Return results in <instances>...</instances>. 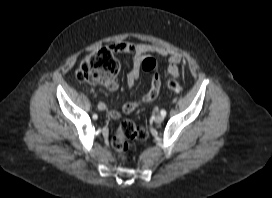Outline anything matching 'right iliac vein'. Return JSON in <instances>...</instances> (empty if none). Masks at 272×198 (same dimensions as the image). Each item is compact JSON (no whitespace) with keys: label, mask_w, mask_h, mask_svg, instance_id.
<instances>
[{"label":"right iliac vein","mask_w":272,"mask_h":198,"mask_svg":"<svg viewBox=\"0 0 272 198\" xmlns=\"http://www.w3.org/2000/svg\"><path fill=\"white\" fill-rule=\"evenodd\" d=\"M100 110H104L105 109V105H102L99 107Z\"/></svg>","instance_id":"right-iliac-vein-1"}]
</instances>
